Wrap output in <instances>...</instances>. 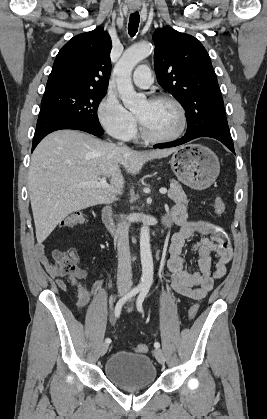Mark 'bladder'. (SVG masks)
I'll return each instance as SVG.
<instances>
[{
    "label": "bladder",
    "instance_id": "obj_1",
    "mask_svg": "<svg viewBox=\"0 0 267 419\" xmlns=\"http://www.w3.org/2000/svg\"><path fill=\"white\" fill-rule=\"evenodd\" d=\"M106 378L122 388H141L152 385L157 370L152 359L140 353L117 351L106 361Z\"/></svg>",
    "mask_w": 267,
    "mask_h": 419
}]
</instances>
